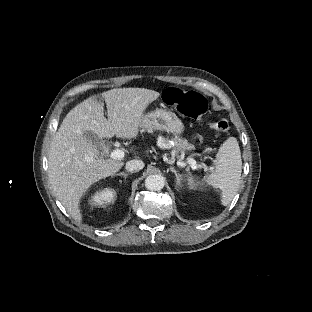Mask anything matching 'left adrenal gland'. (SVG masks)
I'll return each instance as SVG.
<instances>
[{"label": "left adrenal gland", "instance_id": "1", "mask_svg": "<svg viewBox=\"0 0 312 312\" xmlns=\"http://www.w3.org/2000/svg\"><path fill=\"white\" fill-rule=\"evenodd\" d=\"M176 176V185L181 186V175L174 169V167L169 168Z\"/></svg>", "mask_w": 312, "mask_h": 312}]
</instances>
